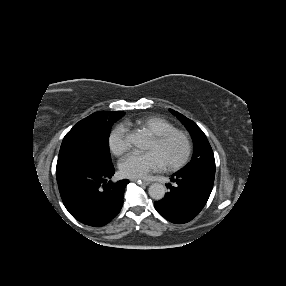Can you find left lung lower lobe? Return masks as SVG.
<instances>
[{"label": "left lung lower lobe", "instance_id": "0a47b994", "mask_svg": "<svg viewBox=\"0 0 286 286\" xmlns=\"http://www.w3.org/2000/svg\"><path fill=\"white\" fill-rule=\"evenodd\" d=\"M215 170H179L172 175L170 192L154 203L155 209L168 221L183 224L196 217L212 191Z\"/></svg>", "mask_w": 286, "mask_h": 286}]
</instances>
